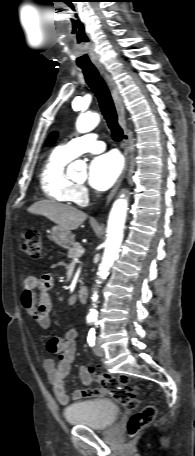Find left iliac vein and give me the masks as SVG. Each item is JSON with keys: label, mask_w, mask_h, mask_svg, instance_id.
Wrapping results in <instances>:
<instances>
[{"label": "left iliac vein", "mask_w": 195, "mask_h": 456, "mask_svg": "<svg viewBox=\"0 0 195 456\" xmlns=\"http://www.w3.org/2000/svg\"><path fill=\"white\" fill-rule=\"evenodd\" d=\"M93 352L95 355L100 356V357L104 356V354H105L103 348L100 346V344L98 342L94 344Z\"/></svg>", "instance_id": "left-iliac-vein-1"}]
</instances>
